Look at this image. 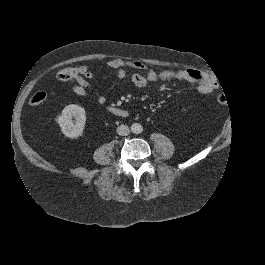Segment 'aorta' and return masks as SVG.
<instances>
[{"label": "aorta", "mask_w": 265, "mask_h": 265, "mask_svg": "<svg viewBox=\"0 0 265 265\" xmlns=\"http://www.w3.org/2000/svg\"><path fill=\"white\" fill-rule=\"evenodd\" d=\"M130 128H131L132 133L134 134H139L143 130V127L140 123H133Z\"/></svg>", "instance_id": "1"}]
</instances>
